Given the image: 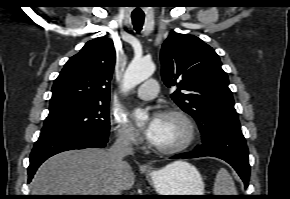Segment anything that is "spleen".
Segmentation results:
<instances>
[{
  "instance_id": "3e777b00",
  "label": "spleen",
  "mask_w": 290,
  "mask_h": 199,
  "mask_svg": "<svg viewBox=\"0 0 290 199\" xmlns=\"http://www.w3.org/2000/svg\"><path fill=\"white\" fill-rule=\"evenodd\" d=\"M213 193L214 195H237L234 181L224 168H221L216 176Z\"/></svg>"
}]
</instances>
